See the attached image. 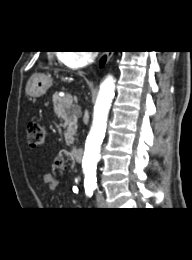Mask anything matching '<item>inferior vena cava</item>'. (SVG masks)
<instances>
[{"label":"inferior vena cava","instance_id":"obj_1","mask_svg":"<svg viewBox=\"0 0 192 260\" xmlns=\"http://www.w3.org/2000/svg\"><path fill=\"white\" fill-rule=\"evenodd\" d=\"M94 58H95V56H94V55H92L90 60H91V61H93V60H94Z\"/></svg>","mask_w":192,"mask_h":260}]
</instances>
